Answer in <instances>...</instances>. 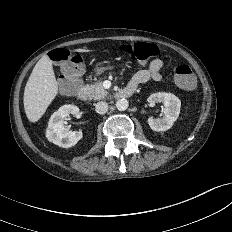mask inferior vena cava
I'll list each match as a JSON object with an SVG mask.
<instances>
[{
  "instance_id": "1",
  "label": "inferior vena cava",
  "mask_w": 232,
  "mask_h": 232,
  "mask_svg": "<svg viewBox=\"0 0 232 232\" xmlns=\"http://www.w3.org/2000/svg\"><path fill=\"white\" fill-rule=\"evenodd\" d=\"M95 110L98 114H105L108 110V104L104 101H100L95 104Z\"/></svg>"
}]
</instances>
